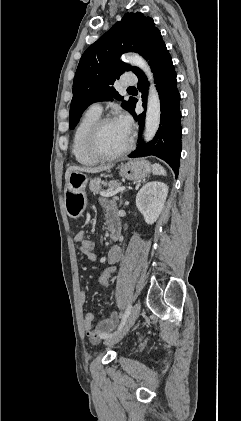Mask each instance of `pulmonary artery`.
Masks as SVG:
<instances>
[{
    "label": "pulmonary artery",
    "mask_w": 241,
    "mask_h": 421,
    "mask_svg": "<svg viewBox=\"0 0 241 421\" xmlns=\"http://www.w3.org/2000/svg\"><path fill=\"white\" fill-rule=\"evenodd\" d=\"M137 83V78L134 76H128L123 78L122 80V85L123 86H132L134 84ZM90 109H92L93 111L97 112V113H101L102 112V106L99 102H95L93 104H91Z\"/></svg>",
    "instance_id": "obj_1"
}]
</instances>
